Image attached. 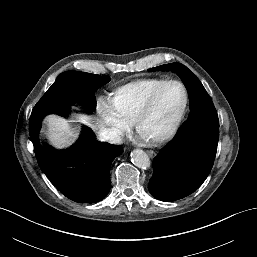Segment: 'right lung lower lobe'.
<instances>
[{
    "instance_id": "1",
    "label": "right lung lower lobe",
    "mask_w": 257,
    "mask_h": 257,
    "mask_svg": "<svg viewBox=\"0 0 257 257\" xmlns=\"http://www.w3.org/2000/svg\"><path fill=\"white\" fill-rule=\"evenodd\" d=\"M38 124L30 131L31 141L37 160L51 183L67 198L78 203H95L105 198L110 190L111 163L122 149L96 141L91 153L84 156L80 163L56 159L47 155L41 147Z\"/></svg>"
}]
</instances>
